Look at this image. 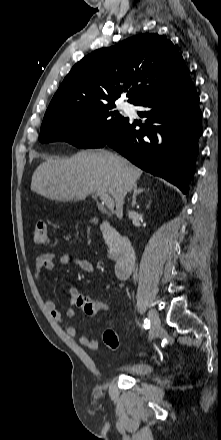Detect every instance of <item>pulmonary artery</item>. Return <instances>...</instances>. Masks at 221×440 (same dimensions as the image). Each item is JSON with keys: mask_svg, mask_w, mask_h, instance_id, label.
Returning <instances> with one entry per match:
<instances>
[{"mask_svg": "<svg viewBox=\"0 0 221 440\" xmlns=\"http://www.w3.org/2000/svg\"><path fill=\"white\" fill-rule=\"evenodd\" d=\"M124 108H125V109H130V107H129L128 104H124Z\"/></svg>", "mask_w": 221, "mask_h": 440, "instance_id": "1", "label": "pulmonary artery"}]
</instances>
